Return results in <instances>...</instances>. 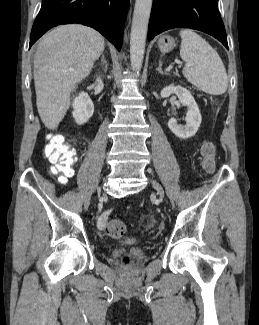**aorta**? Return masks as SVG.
<instances>
[{
  "label": "aorta",
  "mask_w": 259,
  "mask_h": 325,
  "mask_svg": "<svg viewBox=\"0 0 259 325\" xmlns=\"http://www.w3.org/2000/svg\"><path fill=\"white\" fill-rule=\"evenodd\" d=\"M153 0H136L130 34L132 71L139 74L145 52L147 29Z\"/></svg>",
  "instance_id": "762f6f07"
}]
</instances>
